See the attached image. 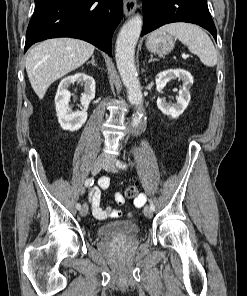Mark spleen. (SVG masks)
<instances>
[{"mask_svg": "<svg viewBox=\"0 0 247 296\" xmlns=\"http://www.w3.org/2000/svg\"><path fill=\"white\" fill-rule=\"evenodd\" d=\"M160 31H164L179 39L189 51L196 54L201 62L214 67L217 63V51L210 37L197 25L176 22L162 26Z\"/></svg>", "mask_w": 247, "mask_h": 296, "instance_id": "obj_1", "label": "spleen"}]
</instances>
